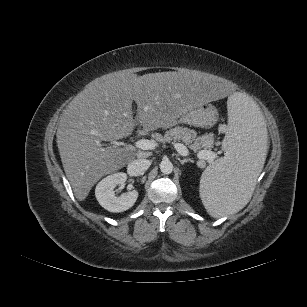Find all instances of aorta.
<instances>
[{
  "label": "aorta",
  "instance_id": "obj_1",
  "mask_svg": "<svg viewBox=\"0 0 307 307\" xmlns=\"http://www.w3.org/2000/svg\"><path fill=\"white\" fill-rule=\"evenodd\" d=\"M160 170L163 174H170L173 171V164L169 160H163L160 163Z\"/></svg>",
  "mask_w": 307,
  "mask_h": 307
}]
</instances>
